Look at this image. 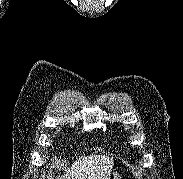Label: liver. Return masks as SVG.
<instances>
[{"label":"liver","instance_id":"liver-1","mask_svg":"<svg viewBox=\"0 0 183 179\" xmlns=\"http://www.w3.org/2000/svg\"><path fill=\"white\" fill-rule=\"evenodd\" d=\"M114 160L105 155L83 156L65 170L62 178L57 179H108L112 173ZM54 168V164L51 169ZM48 179H53L48 176Z\"/></svg>","mask_w":183,"mask_h":179}]
</instances>
